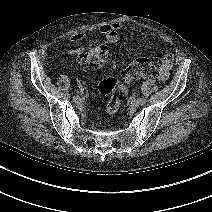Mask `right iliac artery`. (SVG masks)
Returning a JSON list of instances; mask_svg holds the SVG:
<instances>
[{"label":"right iliac artery","mask_w":212,"mask_h":212,"mask_svg":"<svg viewBox=\"0 0 212 212\" xmlns=\"http://www.w3.org/2000/svg\"><path fill=\"white\" fill-rule=\"evenodd\" d=\"M65 98H66V99H69V98H70V94H69V93H66V94H65Z\"/></svg>","instance_id":"right-iliac-artery-1"}]
</instances>
